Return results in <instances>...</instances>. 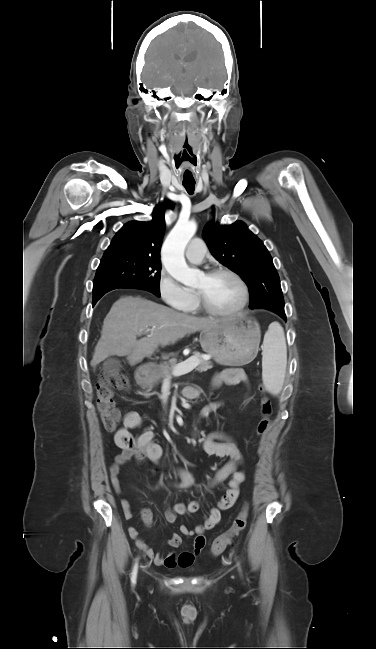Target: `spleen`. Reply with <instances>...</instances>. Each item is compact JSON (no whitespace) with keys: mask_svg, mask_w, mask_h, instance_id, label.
I'll return each mask as SVG.
<instances>
[{"mask_svg":"<svg viewBox=\"0 0 376 649\" xmlns=\"http://www.w3.org/2000/svg\"><path fill=\"white\" fill-rule=\"evenodd\" d=\"M262 378L271 394L281 392L287 365V348L284 332L279 323H272L262 344Z\"/></svg>","mask_w":376,"mask_h":649,"instance_id":"obj_1","label":"spleen"}]
</instances>
